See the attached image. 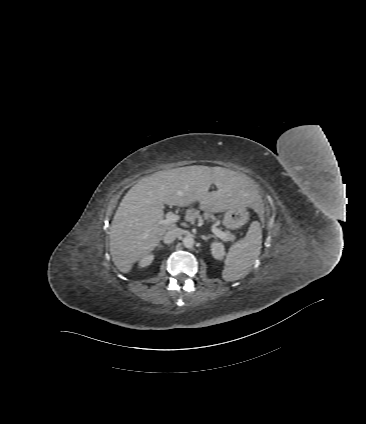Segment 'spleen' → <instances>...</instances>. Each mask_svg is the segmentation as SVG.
Listing matches in <instances>:
<instances>
[{
  "mask_svg": "<svg viewBox=\"0 0 366 424\" xmlns=\"http://www.w3.org/2000/svg\"><path fill=\"white\" fill-rule=\"evenodd\" d=\"M262 230L258 221H253L244 239L234 243L224 261L222 277L225 281H235L245 277L261 252Z\"/></svg>",
  "mask_w": 366,
  "mask_h": 424,
  "instance_id": "obj_1",
  "label": "spleen"
}]
</instances>
